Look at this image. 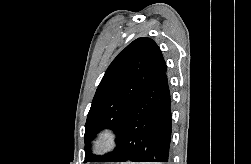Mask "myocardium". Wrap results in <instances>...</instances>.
Instances as JSON below:
<instances>
[{
    "label": "myocardium",
    "instance_id": "obj_1",
    "mask_svg": "<svg viewBox=\"0 0 251 164\" xmlns=\"http://www.w3.org/2000/svg\"><path fill=\"white\" fill-rule=\"evenodd\" d=\"M119 141V132L112 127H105L93 138L91 143L92 151L98 156L109 154L116 149Z\"/></svg>",
    "mask_w": 251,
    "mask_h": 164
}]
</instances>
